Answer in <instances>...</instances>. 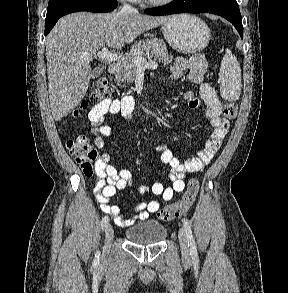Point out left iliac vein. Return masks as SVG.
<instances>
[{
    "mask_svg": "<svg viewBox=\"0 0 288 293\" xmlns=\"http://www.w3.org/2000/svg\"><path fill=\"white\" fill-rule=\"evenodd\" d=\"M178 237H179L182 255L184 257L188 258L190 255L188 240H187V236H186L185 232L182 229L179 231Z\"/></svg>",
    "mask_w": 288,
    "mask_h": 293,
    "instance_id": "obj_1",
    "label": "left iliac vein"
}]
</instances>
